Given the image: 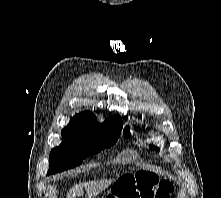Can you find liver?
<instances>
[{
  "mask_svg": "<svg viewBox=\"0 0 221 198\" xmlns=\"http://www.w3.org/2000/svg\"><path fill=\"white\" fill-rule=\"evenodd\" d=\"M112 180L89 181L74 185L68 192L67 198H76L82 194L83 188L86 190L88 198L97 196L105 190Z\"/></svg>",
  "mask_w": 221,
  "mask_h": 198,
  "instance_id": "liver-1",
  "label": "liver"
}]
</instances>
